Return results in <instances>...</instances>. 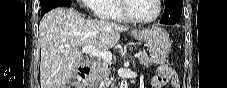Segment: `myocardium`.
Here are the masks:
<instances>
[{"mask_svg":"<svg viewBox=\"0 0 227 88\" xmlns=\"http://www.w3.org/2000/svg\"><path fill=\"white\" fill-rule=\"evenodd\" d=\"M132 1V0H121L120 3V9H121V13L123 14V16L130 22L135 23V24H148V23H152L155 20L158 19V17L161 14V1L160 0H155L156 6H157V12L156 14L151 17V18H147V19H139L136 18L134 16L131 15V13L129 12L128 9V3Z\"/></svg>","mask_w":227,"mask_h":88,"instance_id":"obj_1","label":"myocardium"}]
</instances>
